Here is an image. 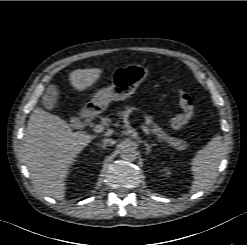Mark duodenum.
Segmentation results:
<instances>
[{"label":"duodenum","instance_id":"obj_1","mask_svg":"<svg viewBox=\"0 0 247 245\" xmlns=\"http://www.w3.org/2000/svg\"><path fill=\"white\" fill-rule=\"evenodd\" d=\"M95 115L94 108H86L80 113V118L85 124H89Z\"/></svg>","mask_w":247,"mask_h":245}]
</instances>
